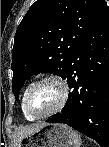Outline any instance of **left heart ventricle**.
Segmentation results:
<instances>
[{"mask_svg": "<svg viewBox=\"0 0 109 147\" xmlns=\"http://www.w3.org/2000/svg\"><path fill=\"white\" fill-rule=\"evenodd\" d=\"M60 97V88L52 82H47L33 91L29 106L35 113L42 114L52 109L59 102Z\"/></svg>", "mask_w": 109, "mask_h": 147, "instance_id": "left-heart-ventricle-1", "label": "left heart ventricle"}]
</instances>
